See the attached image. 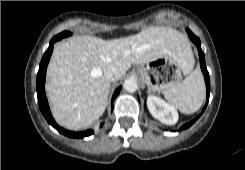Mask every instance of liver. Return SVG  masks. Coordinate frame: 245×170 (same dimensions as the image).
<instances>
[{
    "instance_id": "6515ba94",
    "label": "liver",
    "mask_w": 245,
    "mask_h": 170,
    "mask_svg": "<svg viewBox=\"0 0 245 170\" xmlns=\"http://www.w3.org/2000/svg\"><path fill=\"white\" fill-rule=\"evenodd\" d=\"M184 36L169 27H151L124 38L103 40L83 35L55 46L47 68L46 92L56 122L70 130L90 126L104 113L114 66L121 77L132 64L172 56L185 74L193 68Z\"/></svg>"
}]
</instances>
